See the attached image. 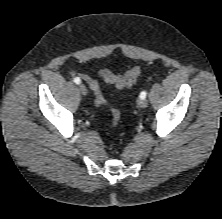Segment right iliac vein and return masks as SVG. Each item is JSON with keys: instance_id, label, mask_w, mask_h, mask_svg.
Returning <instances> with one entry per match:
<instances>
[{"instance_id": "63e3f726", "label": "right iliac vein", "mask_w": 222, "mask_h": 219, "mask_svg": "<svg viewBox=\"0 0 222 219\" xmlns=\"http://www.w3.org/2000/svg\"><path fill=\"white\" fill-rule=\"evenodd\" d=\"M78 88H79V91L81 92L82 95H86L87 94V88H86V86L84 84H82V83L79 84Z\"/></svg>"}]
</instances>
